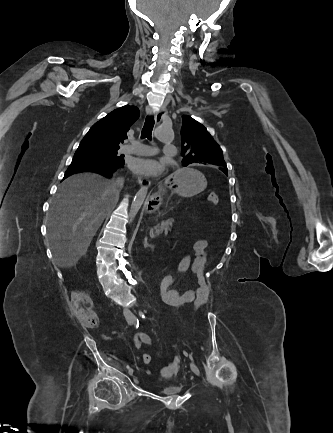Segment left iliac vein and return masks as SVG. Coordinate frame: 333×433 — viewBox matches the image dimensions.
Segmentation results:
<instances>
[{"mask_svg": "<svg viewBox=\"0 0 333 433\" xmlns=\"http://www.w3.org/2000/svg\"><path fill=\"white\" fill-rule=\"evenodd\" d=\"M190 368L196 375H198V376L200 375V371L194 363H190Z\"/></svg>", "mask_w": 333, "mask_h": 433, "instance_id": "1", "label": "left iliac vein"}]
</instances>
